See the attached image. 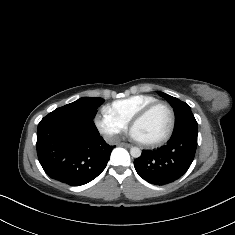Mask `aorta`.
Here are the masks:
<instances>
[{"mask_svg":"<svg viewBox=\"0 0 235 235\" xmlns=\"http://www.w3.org/2000/svg\"><path fill=\"white\" fill-rule=\"evenodd\" d=\"M130 154L134 158H138L141 156V150L138 147H131Z\"/></svg>","mask_w":235,"mask_h":235,"instance_id":"1","label":"aorta"}]
</instances>
